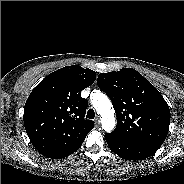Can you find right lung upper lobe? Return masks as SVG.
Masks as SVG:
<instances>
[{
  "mask_svg": "<svg viewBox=\"0 0 184 184\" xmlns=\"http://www.w3.org/2000/svg\"><path fill=\"white\" fill-rule=\"evenodd\" d=\"M96 73L79 65L46 76L31 92L24 107V125L33 146L44 156L79 147L94 126L86 120L88 102L81 91Z\"/></svg>",
  "mask_w": 184,
  "mask_h": 184,
  "instance_id": "cb5924a9",
  "label": "right lung upper lobe"
}]
</instances>
